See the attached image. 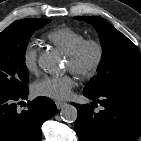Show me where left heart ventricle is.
Wrapping results in <instances>:
<instances>
[{
    "instance_id": "b2bd125f",
    "label": "left heart ventricle",
    "mask_w": 141,
    "mask_h": 141,
    "mask_svg": "<svg viewBox=\"0 0 141 141\" xmlns=\"http://www.w3.org/2000/svg\"><path fill=\"white\" fill-rule=\"evenodd\" d=\"M67 68L69 69V61L67 60Z\"/></svg>"
}]
</instances>
